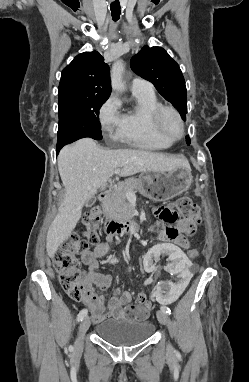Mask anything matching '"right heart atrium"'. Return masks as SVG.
<instances>
[{
  "label": "right heart atrium",
  "instance_id": "1",
  "mask_svg": "<svg viewBox=\"0 0 249 382\" xmlns=\"http://www.w3.org/2000/svg\"><path fill=\"white\" fill-rule=\"evenodd\" d=\"M99 123L102 131L109 136H117L124 123L120 103L116 97H109L99 110Z\"/></svg>",
  "mask_w": 249,
  "mask_h": 382
}]
</instances>
